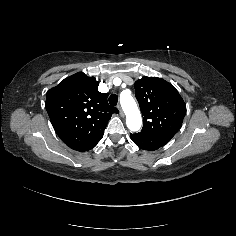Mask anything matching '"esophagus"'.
Returning a JSON list of instances; mask_svg holds the SVG:
<instances>
[{"instance_id": "1", "label": "esophagus", "mask_w": 236, "mask_h": 236, "mask_svg": "<svg viewBox=\"0 0 236 236\" xmlns=\"http://www.w3.org/2000/svg\"><path fill=\"white\" fill-rule=\"evenodd\" d=\"M118 109H119L120 115H121L122 117H124V112H123L122 108H121L120 106H118Z\"/></svg>"}]
</instances>
